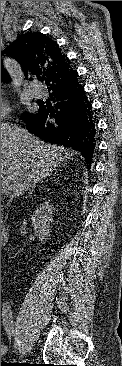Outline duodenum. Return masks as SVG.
<instances>
[{
    "mask_svg": "<svg viewBox=\"0 0 122 366\" xmlns=\"http://www.w3.org/2000/svg\"><path fill=\"white\" fill-rule=\"evenodd\" d=\"M7 238V234L5 232L4 227L2 226V222H1V243H3Z\"/></svg>",
    "mask_w": 122,
    "mask_h": 366,
    "instance_id": "duodenum-1",
    "label": "duodenum"
}]
</instances>
